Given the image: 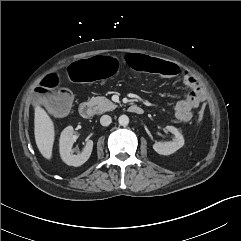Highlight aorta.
<instances>
[{"label":"aorta","mask_w":241,"mask_h":241,"mask_svg":"<svg viewBox=\"0 0 241 241\" xmlns=\"http://www.w3.org/2000/svg\"><path fill=\"white\" fill-rule=\"evenodd\" d=\"M118 122L121 126H127L129 124V117L127 115H121Z\"/></svg>","instance_id":"obj_1"}]
</instances>
